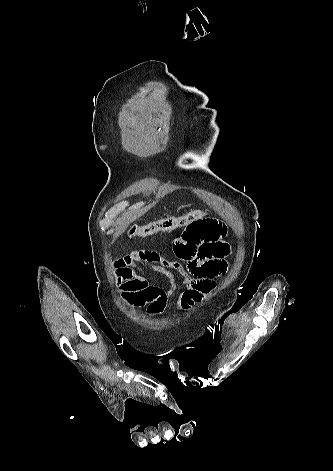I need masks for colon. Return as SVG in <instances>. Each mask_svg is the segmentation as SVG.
I'll return each instance as SVG.
<instances>
[{
	"label": "colon",
	"mask_w": 333,
	"mask_h": 471,
	"mask_svg": "<svg viewBox=\"0 0 333 471\" xmlns=\"http://www.w3.org/2000/svg\"><path fill=\"white\" fill-rule=\"evenodd\" d=\"M203 210H193L180 216H169L155 220L140 226H132L130 236L147 237L159 232H169L190 225L195 220L203 217Z\"/></svg>",
	"instance_id": "colon-1"
}]
</instances>
